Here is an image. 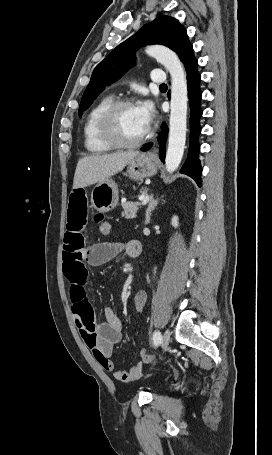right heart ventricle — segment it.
Here are the masks:
<instances>
[{
	"label": "right heart ventricle",
	"instance_id": "obj_1",
	"mask_svg": "<svg viewBox=\"0 0 272 455\" xmlns=\"http://www.w3.org/2000/svg\"><path fill=\"white\" fill-rule=\"evenodd\" d=\"M113 101L112 96L101 98L87 114L84 127V145L92 154H105L114 150V147L107 144L99 133V119L105 108Z\"/></svg>",
	"mask_w": 272,
	"mask_h": 455
}]
</instances>
